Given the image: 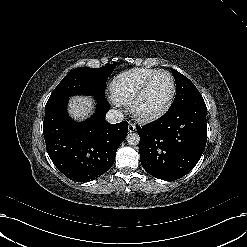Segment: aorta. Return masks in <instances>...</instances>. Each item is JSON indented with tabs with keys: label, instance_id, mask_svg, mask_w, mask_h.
Segmentation results:
<instances>
[{
	"label": "aorta",
	"instance_id": "1",
	"mask_svg": "<svg viewBox=\"0 0 247 247\" xmlns=\"http://www.w3.org/2000/svg\"><path fill=\"white\" fill-rule=\"evenodd\" d=\"M126 140L129 145H138L140 142V137L137 133H130L127 135Z\"/></svg>",
	"mask_w": 247,
	"mask_h": 247
}]
</instances>
